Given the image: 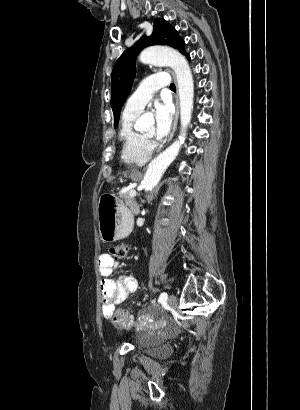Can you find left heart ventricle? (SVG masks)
I'll use <instances>...</instances> for the list:
<instances>
[{
	"label": "left heart ventricle",
	"instance_id": "b2bd125f",
	"mask_svg": "<svg viewBox=\"0 0 300 410\" xmlns=\"http://www.w3.org/2000/svg\"><path fill=\"white\" fill-rule=\"evenodd\" d=\"M146 136H151L152 134H153V127L152 128H150L149 130H147L145 133H144Z\"/></svg>",
	"mask_w": 300,
	"mask_h": 410
}]
</instances>
